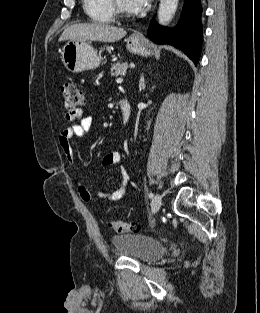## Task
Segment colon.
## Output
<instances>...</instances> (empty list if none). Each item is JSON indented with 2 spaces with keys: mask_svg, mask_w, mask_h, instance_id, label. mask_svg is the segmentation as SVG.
Masks as SVG:
<instances>
[{
  "mask_svg": "<svg viewBox=\"0 0 260 313\" xmlns=\"http://www.w3.org/2000/svg\"><path fill=\"white\" fill-rule=\"evenodd\" d=\"M64 107L73 112L80 109L85 104L83 91L72 81H64L61 84ZM110 228L117 233H126L134 229V225L128 221L110 220Z\"/></svg>",
  "mask_w": 260,
  "mask_h": 313,
  "instance_id": "obj_1",
  "label": "colon"
}]
</instances>
